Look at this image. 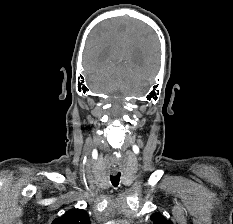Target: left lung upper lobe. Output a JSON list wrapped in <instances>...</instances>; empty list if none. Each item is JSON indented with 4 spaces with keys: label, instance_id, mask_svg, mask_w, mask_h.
I'll return each mask as SVG.
<instances>
[{
    "label": "left lung upper lobe",
    "instance_id": "obj_1",
    "mask_svg": "<svg viewBox=\"0 0 233 224\" xmlns=\"http://www.w3.org/2000/svg\"><path fill=\"white\" fill-rule=\"evenodd\" d=\"M150 219L153 221V224H173L172 221L167 220L162 214L154 213L151 215Z\"/></svg>",
    "mask_w": 233,
    "mask_h": 224
}]
</instances>
